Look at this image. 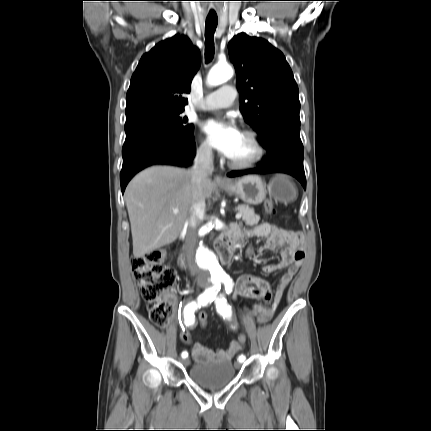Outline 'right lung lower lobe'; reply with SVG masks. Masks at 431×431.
Here are the masks:
<instances>
[{
	"mask_svg": "<svg viewBox=\"0 0 431 431\" xmlns=\"http://www.w3.org/2000/svg\"><path fill=\"white\" fill-rule=\"evenodd\" d=\"M195 153L193 134L183 135L163 128H149L126 135L120 173L122 193L130 179L142 169L155 164L187 167Z\"/></svg>",
	"mask_w": 431,
	"mask_h": 431,
	"instance_id": "right-lung-lower-lobe-1",
	"label": "right lung lower lobe"
}]
</instances>
